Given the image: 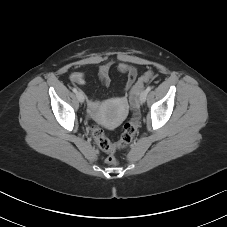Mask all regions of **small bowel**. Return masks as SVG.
<instances>
[{"instance_id": "obj_1", "label": "small bowel", "mask_w": 227, "mask_h": 227, "mask_svg": "<svg viewBox=\"0 0 227 227\" xmlns=\"http://www.w3.org/2000/svg\"><path fill=\"white\" fill-rule=\"evenodd\" d=\"M111 67L112 64L108 62L100 65L98 68V78L105 86H108L111 82L110 78ZM117 70L118 72L126 76V82L124 86L125 91H129L130 89H132L137 78L138 74L137 69L132 65H129L125 62H121L117 65ZM70 79L75 84L78 85L85 84V76L82 72H73L70 75ZM89 106L92 110H94L97 108V102L94 100H90Z\"/></svg>"}]
</instances>
